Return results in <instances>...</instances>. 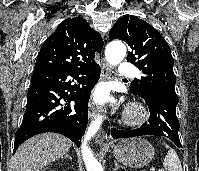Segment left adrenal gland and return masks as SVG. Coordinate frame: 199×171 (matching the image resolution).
I'll use <instances>...</instances> for the list:
<instances>
[{
    "mask_svg": "<svg viewBox=\"0 0 199 171\" xmlns=\"http://www.w3.org/2000/svg\"><path fill=\"white\" fill-rule=\"evenodd\" d=\"M114 165H115V168H114L113 171H118L119 168H122V169H123V167L120 166V165L117 163V161H114Z\"/></svg>",
    "mask_w": 199,
    "mask_h": 171,
    "instance_id": "obj_1",
    "label": "left adrenal gland"
}]
</instances>
